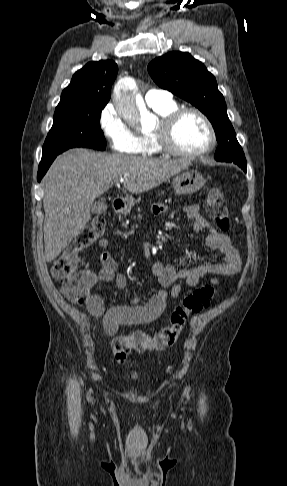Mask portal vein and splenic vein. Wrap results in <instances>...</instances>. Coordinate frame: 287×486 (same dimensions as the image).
<instances>
[{
	"label": "portal vein and splenic vein",
	"instance_id": "18ae733b",
	"mask_svg": "<svg viewBox=\"0 0 287 486\" xmlns=\"http://www.w3.org/2000/svg\"><path fill=\"white\" fill-rule=\"evenodd\" d=\"M123 182H124V179H123V178H121V179H119L118 181H116L115 183H116V184H119V183H123Z\"/></svg>",
	"mask_w": 287,
	"mask_h": 486
}]
</instances>
